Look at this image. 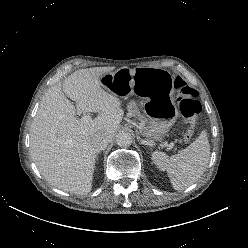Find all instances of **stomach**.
<instances>
[{"mask_svg": "<svg viewBox=\"0 0 248 248\" xmlns=\"http://www.w3.org/2000/svg\"><path fill=\"white\" fill-rule=\"evenodd\" d=\"M101 83L112 94L124 98L137 94L144 102V113L138 129L147 141H162L178 118L172 98L174 78L162 68H120L101 77Z\"/></svg>", "mask_w": 248, "mask_h": 248, "instance_id": "stomach-1", "label": "stomach"}]
</instances>
